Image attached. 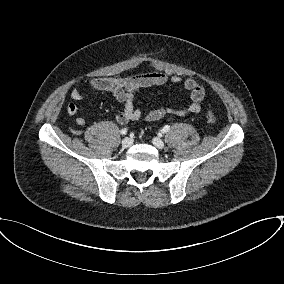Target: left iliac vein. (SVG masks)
<instances>
[{"mask_svg":"<svg viewBox=\"0 0 284 284\" xmlns=\"http://www.w3.org/2000/svg\"><path fill=\"white\" fill-rule=\"evenodd\" d=\"M152 143L154 144V146L158 149H162L164 148V142L162 139L155 137L152 139Z\"/></svg>","mask_w":284,"mask_h":284,"instance_id":"left-iliac-vein-1","label":"left iliac vein"}]
</instances>
